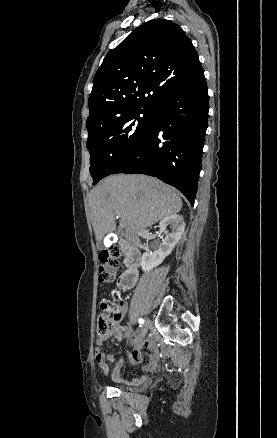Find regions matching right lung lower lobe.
Returning <instances> with one entry per match:
<instances>
[{
  "mask_svg": "<svg viewBox=\"0 0 277 438\" xmlns=\"http://www.w3.org/2000/svg\"><path fill=\"white\" fill-rule=\"evenodd\" d=\"M178 66L170 65L169 71ZM204 73L172 89L154 104L152 125L143 141L116 168L159 178L194 204L208 120Z\"/></svg>",
  "mask_w": 277,
  "mask_h": 438,
  "instance_id": "obj_1",
  "label": "right lung lower lobe"
}]
</instances>
